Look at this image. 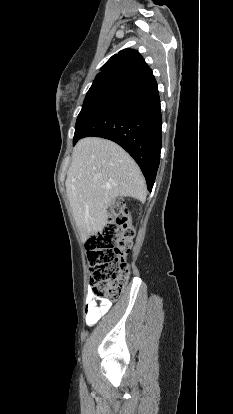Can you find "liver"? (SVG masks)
Masks as SVG:
<instances>
[{"label": "liver", "mask_w": 233, "mask_h": 414, "mask_svg": "<svg viewBox=\"0 0 233 414\" xmlns=\"http://www.w3.org/2000/svg\"><path fill=\"white\" fill-rule=\"evenodd\" d=\"M66 192L83 239L102 232L107 209L118 197L146 200V183L140 168L116 143L86 137L73 149Z\"/></svg>", "instance_id": "liver-1"}]
</instances>
